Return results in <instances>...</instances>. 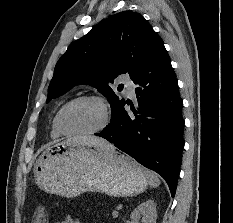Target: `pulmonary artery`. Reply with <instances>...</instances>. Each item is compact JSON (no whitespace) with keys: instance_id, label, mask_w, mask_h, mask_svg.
<instances>
[{"instance_id":"pulmonary-artery-1","label":"pulmonary artery","mask_w":233,"mask_h":223,"mask_svg":"<svg viewBox=\"0 0 233 223\" xmlns=\"http://www.w3.org/2000/svg\"><path fill=\"white\" fill-rule=\"evenodd\" d=\"M119 79H121V82L126 86L128 94L134 97L136 85L131 80V74H119Z\"/></svg>"}]
</instances>
